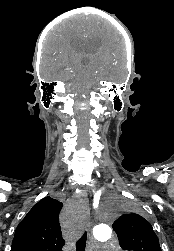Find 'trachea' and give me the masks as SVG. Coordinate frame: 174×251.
I'll return each instance as SVG.
<instances>
[{
    "instance_id": "obj_1",
    "label": "trachea",
    "mask_w": 174,
    "mask_h": 251,
    "mask_svg": "<svg viewBox=\"0 0 174 251\" xmlns=\"http://www.w3.org/2000/svg\"><path fill=\"white\" fill-rule=\"evenodd\" d=\"M86 241H87V233L84 232V234L76 243V251H85Z\"/></svg>"
}]
</instances>
